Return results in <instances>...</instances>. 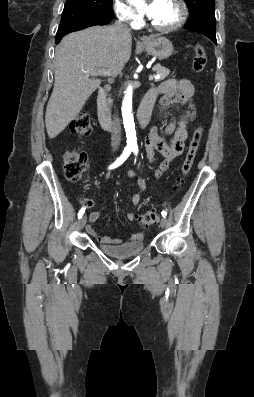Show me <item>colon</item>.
Returning a JSON list of instances; mask_svg holds the SVG:
<instances>
[{
	"instance_id": "colon-1",
	"label": "colon",
	"mask_w": 254,
	"mask_h": 397,
	"mask_svg": "<svg viewBox=\"0 0 254 397\" xmlns=\"http://www.w3.org/2000/svg\"><path fill=\"white\" fill-rule=\"evenodd\" d=\"M195 55L193 58V70L195 72H201L206 64V54L201 44L194 46ZM70 130L73 134L79 137L88 136L92 131V125L90 117L82 113L78 115L70 124ZM203 135V128L198 127L192 136L189 143L188 151L182 165L183 177L186 176L194 162L198 149L200 147L201 139ZM64 174L67 180L70 182H77L83 172L88 166L87 153L81 148H75L68 150L63 156ZM179 180V184H182L184 178ZM159 216L155 210L146 211L138 216V220L145 226L153 225L158 222Z\"/></svg>"
}]
</instances>
